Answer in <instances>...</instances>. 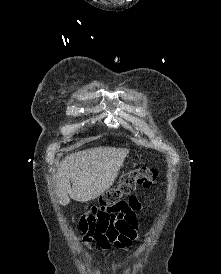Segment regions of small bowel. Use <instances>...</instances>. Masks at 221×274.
Wrapping results in <instances>:
<instances>
[{
    "label": "small bowel",
    "mask_w": 221,
    "mask_h": 274,
    "mask_svg": "<svg viewBox=\"0 0 221 274\" xmlns=\"http://www.w3.org/2000/svg\"><path fill=\"white\" fill-rule=\"evenodd\" d=\"M141 203L136 196L114 206H94L79 220L83 243L102 250H128L137 238V213Z\"/></svg>",
    "instance_id": "c3829d8e"
}]
</instances>
